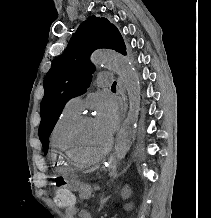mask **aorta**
<instances>
[{
    "instance_id": "762f6f07",
    "label": "aorta",
    "mask_w": 211,
    "mask_h": 218,
    "mask_svg": "<svg viewBox=\"0 0 211 218\" xmlns=\"http://www.w3.org/2000/svg\"><path fill=\"white\" fill-rule=\"evenodd\" d=\"M91 60L95 64H102L115 71L128 94L129 111L127 118L119 130L114 147V157L116 162L124 159L130 149L136 133L138 115L140 111V85L134 67L129 60L113 51L98 50L93 53Z\"/></svg>"
}]
</instances>
